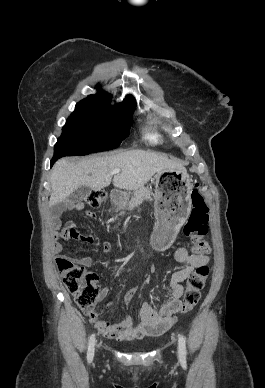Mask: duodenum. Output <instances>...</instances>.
I'll return each mask as SVG.
<instances>
[{
  "label": "duodenum",
  "instance_id": "duodenum-1",
  "mask_svg": "<svg viewBox=\"0 0 265 388\" xmlns=\"http://www.w3.org/2000/svg\"><path fill=\"white\" fill-rule=\"evenodd\" d=\"M125 198H126L125 194L122 193L121 191L114 190L111 193V201H112V203H114L116 205L121 204L122 202H124Z\"/></svg>",
  "mask_w": 265,
  "mask_h": 388
}]
</instances>
